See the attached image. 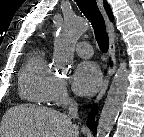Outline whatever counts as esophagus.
<instances>
[{
  "mask_svg": "<svg viewBox=\"0 0 144 137\" xmlns=\"http://www.w3.org/2000/svg\"><path fill=\"white\" fill-rule=\"evenodd\" d=\"M97 4H98V6H99V8H100V10H101V12L104 16L105 22H106L107 31H108V35H109V55H110V58L113 62V66L109 67V69L107 70L104 83L101 87L100 92L98 93V95L95 99V103H98L103 98V96L105 95L106 90H107L108 85H109V82H110V79H111V76L114 73L115 62H116V57H115L116 47H115V41H114V36H115L114 35V25L109 20L107 14H106V11H105L104 6H103V1L102 0H97Z\"/></svg>",
  "mask_w": 144,
  "mask_h": 137,
  "instance_id": "obj_1",
  "label": "esophagus"
}]
</instances>
